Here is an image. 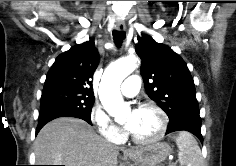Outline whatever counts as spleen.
<instances>
[{
  "label": "spleen",
  "instance_id": "spleen-1",
  "mask_svg": "<svg viewBox=\"0 0 236 166\" xmlns=\"http://www.w3.org/2000/svg\"><path fill=\"white\" fill-rule=\"evenodd\" d=\"M173 139L179 149L178 159L181 166H204L200 147L192 134L181 131Z\"/></svg>",
  "mask_w": 236,
  "mask_h": 166
}]
</instances>
